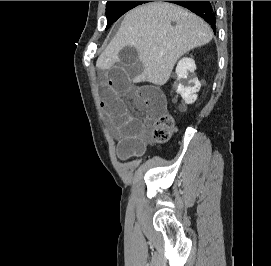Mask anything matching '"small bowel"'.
<instances>
[{"mask_svg": "<svg viewBox=\"0 0 271 266\" xmlns=\"http://www.w3.org/2000/svg\"><path fill=\"white\" fill-rule=\"evenodd\" d=\"M141 72L140 63L127 56L120 63L104 69L99 89L101 106L117 131L121 159L141 154L149 139L146 121L131 115L128 103L137 110H144L147 120L166 108V98L161 90L135 82Z\"/></svg>", "mask_w": 271, "mask_h": 266, "instance_id": "1", "label": "small bowel"}]
</instances>
